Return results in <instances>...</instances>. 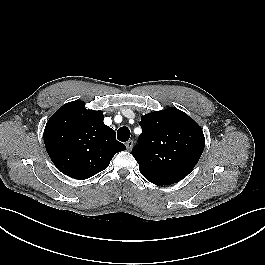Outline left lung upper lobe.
<instances>
[{
  "label": "left lung upper lobe",
  "instance_id": "5c2ea615",
  "mask_svg": "<svg viewBox=\"0 0 265 265\" xmlns=\"http://www.w3.org/2000/svg\"><path fill=\"white\" fill-rule=\"evenodd\" d=\"M142 133L132 155L141 174L155 185L174 184L200 159L205 138L200 126L174 107L141 117Z\"/></svg>",
  "mask_w": 265,
  "mask_h": 265
}]
</instances>
